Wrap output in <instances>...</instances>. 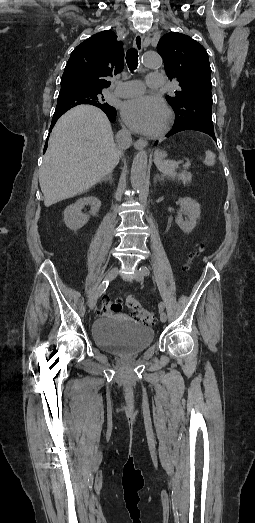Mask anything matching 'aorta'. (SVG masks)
<instances>
[{
  "label": "aorta",
  "instance_id": "aorta-1",
  "mask_svg": "<svg viewBox=\"0 0 255 523\" xmlns=\"http://www.w3.org/2000/svg\"><path fill=\"white\" fill-rule=\"evenodd\" d=\"M143 64L147 68H158L162 59L157 52H146L143 55ZM148 155L145 150L137 153L131 168V184L134 190L141 191L146 184Z\"/></svg>",
  "mask_w": 255,
  "mask_h": 523
}]
</instances>
